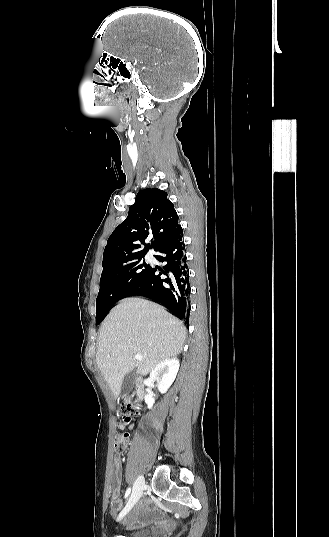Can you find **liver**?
<instances>
[{"instance_id":"liver-1","label":"liver","mask_w":329,"mask_h":537,"mask_svg":"<svg viewBox=\"0 0 329 537\" xmlns=\"http://www.w3.org/2000/svg\"><path fill=\"white\" fill-rule=\"evenodd\" d=\"M186 328L162 306L140 298L116 305L102 323L97 365L114 398H118L124 376L137 366L145 376L159 363L176 357L183 349ZM135 355L143 360L137 361Z\"/></svg>"}]
</instances>
